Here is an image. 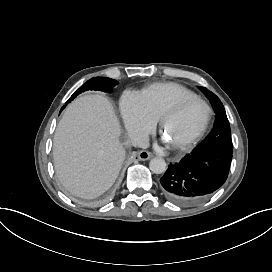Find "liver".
Here are the masks:
<instances>
[{
    "label": "liver",
    "instance_id": "6515ba94",
    "mask_svg": "<svg viewBox=\"0 0 272 272\" xmlns=\"http://www.w3.org/2000/svg\"><path fill=\"white\" fill-rule=\"evenodd\" d=\"M106 97L88 95L65 110L54 136L56 174L73 195L95 198L111 187L125 157Z\"/></svg>",
    "mask_w": 272,
    "mask_h": 272
}]
</instances>
